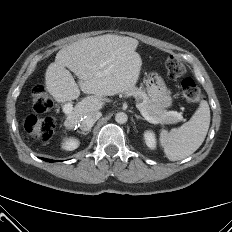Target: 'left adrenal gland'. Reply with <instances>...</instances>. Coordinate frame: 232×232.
<instances>
[{
    "instance_id": "obj_1",
    "label": "left adrenal gland",
    "mask_w": 232,
    "mask_h": 232,
    "mask_svg": "<svg viewBox=\"0 0 232 232\" xmlns=\"http://www.w3.org/2000/svg\"><path fill=\"white\" fill-rule=\"evenodd\" d=\"M135 118L138 120V119H141V120H146L145 118L141 117L140 115H136L135 114Z\"/></svg>"
}]
</instances>
